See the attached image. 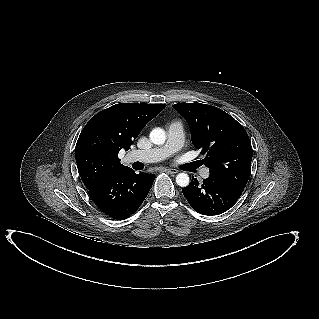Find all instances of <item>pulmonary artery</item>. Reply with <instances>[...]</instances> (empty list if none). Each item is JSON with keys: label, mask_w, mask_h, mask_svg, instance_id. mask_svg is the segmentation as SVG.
<instances>
[{"label": "pulmonary artery", "mask_w": 319, "mask_h": 319, "mask_svg": "<svg viewBox=\"0 0 319 319\" xmlns=\"http://www.w3.org/2000/svg\"><path fill=\"white\" fill-rule=\"evenodd\" d=\"M184 143V130L183 125L180 122H172L168 126L167 140L159 147L148 150H134L129 154V157L135 161H141L144 163L157 162L163 160L172 154L179 151ZM210 175L208 168H204L201 171L202 178L206 179Z\"/></svg>", "instance_id": "e3ab8cb5"}]
</instances>
